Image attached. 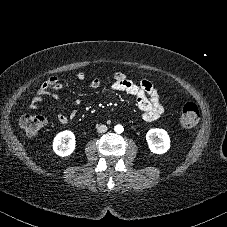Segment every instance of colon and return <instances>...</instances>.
Returning <instances> with one entry per match:
<instances>
[{"label": "colon", "mask_w": 227, "mask_h": 227, "mask_svg": "<svg viewBox=\"0 0 227 227\" xmlns=\"http://www.w3.org/2000/svg\"><path fill=\"white\" fill-rule=\"evenodd\" d=\"M199 120V110L196 104L187 103L183 106L180 114V124L184 128L196 126ZM46 118L41 115L26 114L20 118V126L30 136L38 134L46 125Z\"/></svg>", "instance_id": "colon-1"}]
</instances>
